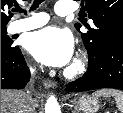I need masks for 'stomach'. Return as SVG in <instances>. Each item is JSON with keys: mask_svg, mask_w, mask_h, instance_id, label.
Returning <instances> with one entry per match:
<instances>
[{"mask_svg": "<svg viewBox=\"0 0 123 113\" xmlns=\"http://www.w3.org/2000/svg\"><path fill=\"white\" fill-rule=\"evenodd\" d=\"M71 103L84 113H97L99 110V102L95 96L82 95L72 99Z\"/></svg>", "mask_w": 123, "mask_h": 113, "instance_id": "stomach-1", "label": "stomach"}]
</instances>
